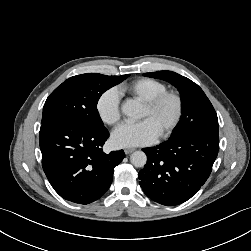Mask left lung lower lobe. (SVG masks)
I'll return each instance as SVG.
<instances>
[{
	"label": "left lung lower lobe",
	"mask_w": 251,
	"mask_h": 251,
	"mask_svg": "<svg viewBox=\"0 0 251 251\" xmlns=\"http://www.w3.org/2000/svg\"><path fill=\"white\" fill-rule=\"evenodd\" d=\"M219 148L215 130H199L156 147L144 148L147 163L139 172L144 193L175 206L189 200L208 179Z\"/></svg>",
	"instance_id": "0a47b994"
}]
</instances>
